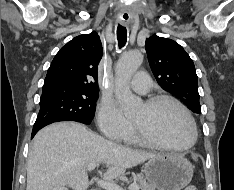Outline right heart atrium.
Listing matches in <instances>:
<instances>
[{"label": "right heart atrium", "instance_id": "right-heart-atrium-1", "mask_svg": "<svg viewBox=\"0 0 234 190\" xmlns=\"http://www.w3.org/2000/svg\"><path fill=\"white\" fill-rule=\"evenodd\" d=\"M96 118L102 134L114 141H121L132 126L131 120L126 118L109 98H103L99 102Z\"/></svg>", "mask_w": 234, "mask_h": 190}]
</instances>
